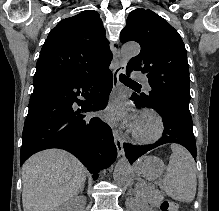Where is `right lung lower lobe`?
Listing matches in <instances>:
<instances>
[{
    "mask_svg": "<svg viewBox=\"0 0 219 211\" xmlns=\"http://www.w3.org/2000/svg\"><path fill=\"white\" fill-rule=\"evenodd\" d=\"M108 66L89 76L34 79L20 165L36 152L60 148L75 155L96 179L101 168L115 161L117 150L111 128L99 117L82 114L106 107L113 86Z\"/></svg>",
    "mask_w": 219,
    "mask_h": 211,
    "instance_id": "98d812e1",
    "label": "right lung lower lobe"
}]
</instances>
